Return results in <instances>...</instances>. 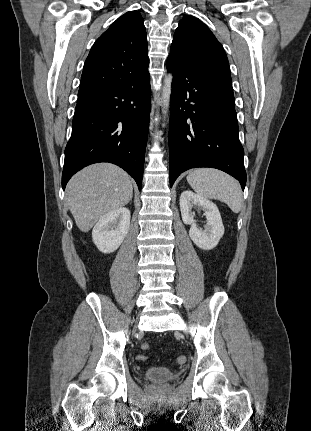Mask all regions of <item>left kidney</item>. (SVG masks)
<instances>
[{
    "label": "left kidney",
    "instance_id": "1",
    "mask_svg": "<svg viewBox=\"0 0 311 431\" xmlns=\"http://www.w3.org/2000/svg\"><path fill=\"white\" fill-rule=\"evenodd\" d=\"M179 202L184 223H190L191 225L189 235L192 241L201 249H213L225 231L217 206L210 200L190 192V190L182 192ZM192 208L204 210V216L207 217L206 229H199L197 223H195V212H192Z\"/></svg>",
    "mask_w": 311,
    "mask_h": 431
}]
</instances>
